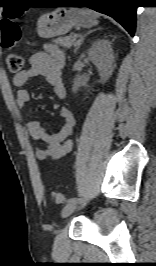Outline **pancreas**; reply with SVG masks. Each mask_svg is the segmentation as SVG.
<instances>
[{
    "label": "pancreas",
    "mask_w": 156,
    "mask_h": 266,
    "mask_svg": "<svg viewBox=\"0 0 156 266\" xmlns=\"http://www.w3.org/2000/svg\"><path fill=\"white\" fill-rule=\"evenodd\" d=\"M55 45H59L64 48H71L73 45L76 46V35H69L66 37H59L53 40Z\"/></svg>",
    "instance_id": "cf45deb5"
}]
</instances>
